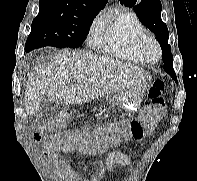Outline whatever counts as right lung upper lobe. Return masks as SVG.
Returning a JSON list of instances; mask_svg holds the SVG:
<instances>
[{
  "mask_svg": "<svg viewBox=\"0 0 197 181\" xmlns=\"http://www.w3.org/2000/svg\"><path fill=\"white\" fill-rule=\"evenodd\" d=\"M108 0H40L39 12L77 16L98 13Z\"/></svg>",
  "mask_w": 197,
  "mask_h": 181,
  "instance_id": "1",
  "label": "right lung upper lobe"
}]
</instances>
